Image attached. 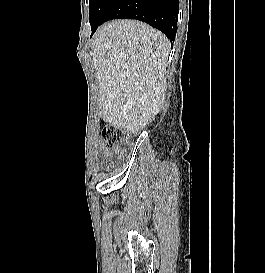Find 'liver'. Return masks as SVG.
<instances>
[{
	"instance_id": "obj_1",
	"label": "liver",
	"mask_w": 265,
	"mask_h": 273,
	"mask_svg": "<svg viewBox=\"0 0 265 273\" xmlns=\"http://www.w3.org/2000/svg\"><path fill=\"white\" fill-rule=\"evenodd\" d=\"M170 42L146 23L114 20L102 25L92 44L99 82L100 116L136 134L162 108Z\"/></svg>"
}]
</instances>
